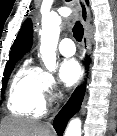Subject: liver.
<instances>
[{
	"label": "liver",
	"instance_id": "6515ba94",
	"mask_svg": "<svg viewBox=\"0 0 117 136\" xmlns=\"http://www.w3.org/2000/svg\"><path fill=\"white\" fill-rule=\"evenodd\" d=\"M1 127L4 131L3 136H51L49 127L27 119L6 118Z\"/></svg>",
	"mask_w": 117,
	"mask_h": 136
}]
</instances>
